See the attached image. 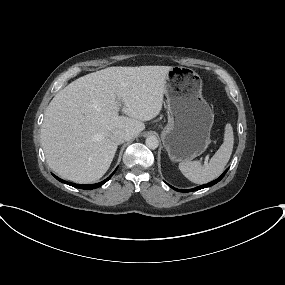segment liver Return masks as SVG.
<instances>
[{
	"mask_svg": "<svg viewBox=\"0 0 285 285\" xmlns=\"http://www.w3.org/2000/svg\"><path fill=\"white\" fill-rule=\"evenodd\" d=\"M170 66L108 67L76 79L49 103L41 127L46 161L61 177L93 183L109 169L117 151L111 134L130 138L156 117ZM127 116H120L119 110Z\"/></svg>",
	"mask_w": 285,
	"mask_h": 285,
	"instance_id": "1",
	"label": "liver"
}]
</instances>
